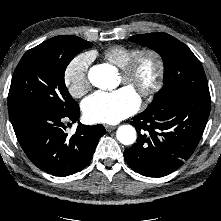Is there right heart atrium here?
<instances>
[{"label":"right heart atrium","instance_id":"d8ad5b80","mask_svg":"<svg viewBox=\"0 0 221 221\" xmlns=\"http://www.w3.org/2000/svg\"><path fill=\"white\" fill-rule=\"evenodd\" d=\"M92 59L91 53H82L75 56L65 68L64 83L74 98L82 97L90 89L88 69Z\"/></svg>","mask_w":221,"mask_h":221}]
</instances>
